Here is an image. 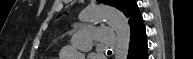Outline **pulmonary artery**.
Instances as JSON below:
<instances>
[{"instance_id":"e3ab8cb5","label":"pulmonary artery","mask_w":193,"mask_h":59,"mask_svg":"<svg viewBox=\"0 0 193 59\" xmlns=\"http://www.w3.org/2000/svg\"><path fill=\"white\" fill-rule=\"evenodd\" d=\"M95 40L113 45L116 38L110 29L101 26H82L69 35V41L78 48H89Z\"/></svg>"}]
</instances>
